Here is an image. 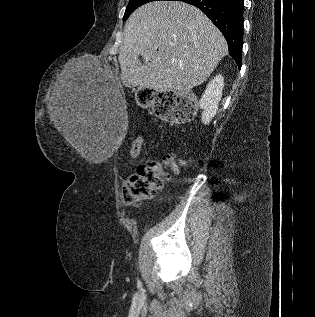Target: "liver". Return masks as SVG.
I'll return each mask as SVG.
<instances>
[{
  "label": "liver",
  "mask_w": 315,
  "mask_h": 317,
  "mask_svg": "<svg viewBox=\"0 0 315 317\" xmlns=\"http://www.w3.org/2000/svg\"><path fill=\"white\" fill-rule=\"evenodd\" d=\"M227 53L225 38L202 11L184 2L156 1L136 9L125 23L120 79L128 88L185 92L206 81ZM54 92L50 120L85 156L83 120L73 95L62 83Z\"/></svg>",
  "instance_id": "obj_1"
}]
</instances>
